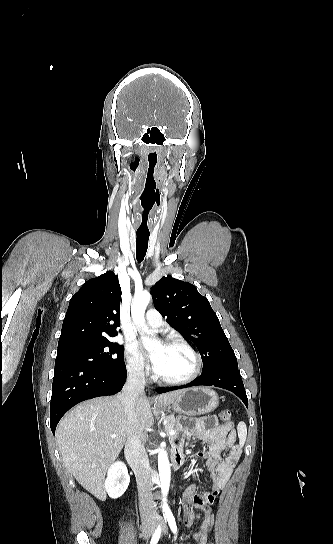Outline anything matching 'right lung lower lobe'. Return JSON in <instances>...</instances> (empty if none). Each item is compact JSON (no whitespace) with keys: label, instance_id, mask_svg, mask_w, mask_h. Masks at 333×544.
Instances as JSON below:
<instances>
[{"label":"right lung lower lobe","instance_id":"right-lung-lower-lobe-1","mask_svg":"<svg viewBox=\"0 0 333 544\" xmlns=\"http://www.w3.org/2000/svg\"><path fill=\"white\" fill-rule=\"evenodd\" d=\"M127 371H106L92 365L71 360L55 361L50 427L55 434L62 416L81 401L121 391Z\"/></svg>","mask_w":333,"mask_h":544}]
</instances>
